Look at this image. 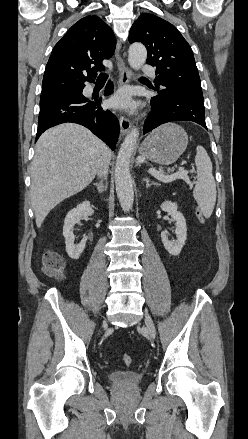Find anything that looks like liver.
Masks as SVG:
<instances>
[{
    "label": "liver",
    "instance_id": "obj_1",
    "mask_svg": "<svg viewBox=\"0 0 248 439\" xmlns=\"http://www.w3.org/2000/svg\"><path fill=\"white\" fill-rule=\"evenodd\" d=\"M108 148L87 128L64 123L45 131L31 163L30 198L36 225L64 199L85 189Z\"/></svg>",
    "mask_w": 248,
    "mask_h": 439
}]
</instances>
